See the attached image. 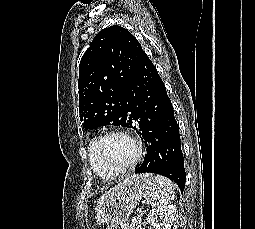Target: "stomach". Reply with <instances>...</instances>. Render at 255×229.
Wrapping results in <instances>:
<instances>
[{
    "label": "stomach",
    "instance_id": "0dacf381",
    "mask_svg": "<svg viewBox=\"0 0 255 229\" xmlns=\"http://www.w3.org/2000/svg\"><path fill=\"white\" fill-rule=\"evenodd\" d=\"M157 184L152 174H132L118 185L115 194L108 198L95 216L98 226L106 224L114 229L126 222L139 199L149 198Z\"/></svg>",
    "mask_w": 255,
    "mask_h": 229
}]
</instances>
